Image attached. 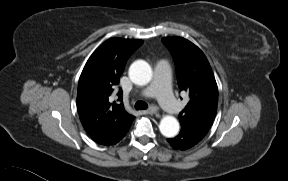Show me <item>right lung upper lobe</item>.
I'll list each match as a JSON object with an SVG mask.
<instances>
[{"instance_id": "obj_1", "label": "right lung upper lobe", "mask_w": 288, "mask_h": 181, "mask_svg": "<svg viewBox=\"0 0 288 181\" xmlns=\"http://www.w3.org/2000/svg\"><path fill=\"white\" fill-rule=\"evenodd\" d=\"M142 43L110 38L90 56L81 73L77 92L79 116L84 129L98 144L118 143L131 126L134 116L125 111L122 103L112 102L111 94L127 59ZM118 96L121 101V90Z\"/></svg>"}]
</instances>
